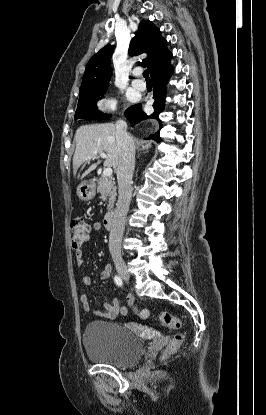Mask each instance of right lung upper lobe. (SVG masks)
<instances>
[{
  "mask_svg": "<svg viewBox=\"0 0 266 415\" xmlns=\"http://www.w3.org/2000/svg\"><path fill=\"white\" fill-rule=\"evenodd\" d=\"M113 46L107 45L89 60L80 87L79 97L106 90L111 77L110 60ZM130 55L147 53L142 65L150 69L151 77L170 66L172 57L167 49V41L160 30L150 21L142 20L139 30L132 38Z\"/></svg>",
  "mask_w": 266,
  "mask_h": 415,
  "instance_id": "right-lung-upper-lobe-1",
  "label": "right lung upper lobe"
}]
</instances>
